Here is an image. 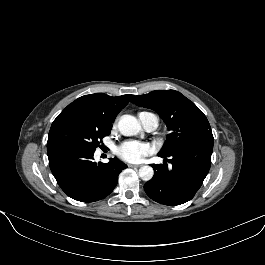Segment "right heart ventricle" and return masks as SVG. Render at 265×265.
Wrapping results in <instances>:
<instances>
[{
    "instance_id": "e07e8e85",
    "label": "right heart ventricle",
    "mask_w": 265,
    "mask_h": 265,
    "mask_svg": "<svg viewBox=\"0 0 265 265\" xmlns=\"http://www.w3.org/2000/svg\"><path fill=\"white\" fill-rule=\"evenodd\" d=\"M143 113H149V112H141V113H139V115H141V114H143Z\"/></svg>"
}]
</instances>
